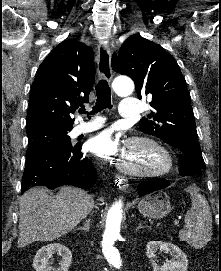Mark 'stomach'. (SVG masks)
Listing matches in <instances>:
<instances>
[{
	"label": "stomach",
	"mask_w": 221,
	"mask_h": 271,
	"mask_svg": "<svg viewBox=\"0 0 221 271\" xmlns=\"http://www.w3.org/2000/svg\"><path fill=\"white\" fill-rule=\"evenodd\" d=\"M138 209L145 217L160 219V217H165L171 211L170 197L162 189H157V191L148 193L143 199H140Z\"/></svg>",
	"instance_id": "0dacf381"
}]
</instances>
